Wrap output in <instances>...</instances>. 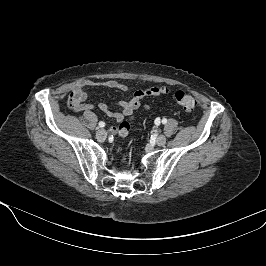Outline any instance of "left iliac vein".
Instances as JSON below:
<instances>
[{
    "instance_id": "obj_1",
    "label": "left iliac vein",
    "mask_w": 266,
    "mask_h": 266,
    "mask_svg": "<svg viewBox=\"0 0 266 266\" xmlns=\"http://www.w3.org/2000/svg\"><path fill=\"white\" fill-rule=\"evenodd\" d=\"M156 143L157 145L159 146H163L165 143H166V137L164 135H159L157 138H156Z\"/></svg>"
}]
</instances>
